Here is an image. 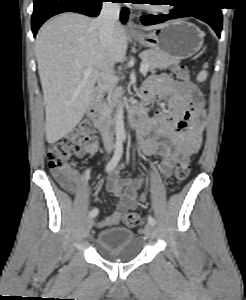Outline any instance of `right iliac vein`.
<instances>
[{"label":"right iliac vein","mask_w":246,"mask_h":300,"mask_svg":"<svg viewBox=\"0 0 246 300\" xmlns=\"http://www.w3.org/2000/svg\"><path fill=\"white\" fill-rule=\"evenodd\" d=\"M92 224H93V220H92V218H89V219L86 221L85 235H86V234L89 232V230L91 229Z\"/></svg>","instance_id":"63e3f726"}]
</instances>
